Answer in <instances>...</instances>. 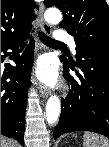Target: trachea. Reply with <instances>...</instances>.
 <instances>
[{
  "instance_id": "3493384b",
  "label": "trachea",
  "mask_w": 109,
  "mask_h": 147,
  "mask_svg": "<svg viewBox=\"0 0 109 147\" xmlns=\"http://www.w3.org/2000/svg\"><path fill=\"white\" fill-rule=\"evenodd\" d=\"M40 40L45 44V45H60L55 41L54 39L50 38L48 35H46L43 32L38 33Z\"/></svg>"
}]
</instances>
